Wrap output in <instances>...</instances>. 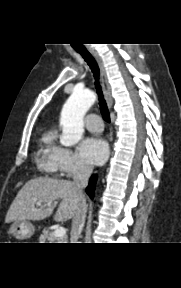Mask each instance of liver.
I'll list each match as a JSON object with an SVG mask.
<instances>
[{
  "label": "liver",
  "mask_w": 181,
  "mask_h": 288,
  "mask_svg": "<svg viewBox=\"0 0 181 288\" xmlns=\"http://www.w3.org/2000/svg\"><path fill=\"white\" fill-rule=\"evenodd\" d=\"M59 200L61 202L54 220L64 222L73 219L81 202L73 182L47 177L31 179L18 192L7 212L5 222L44 220L53 213ZM37 202L42 205L36 207Z\"/></svg>",
  "instance_id": "liver-1"
}]
</instances>
